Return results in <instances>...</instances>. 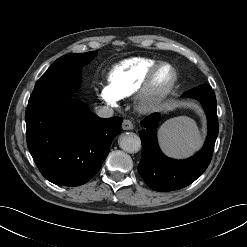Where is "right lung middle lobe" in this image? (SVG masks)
<instances>
[{
  "label": "right lung middle lobe",
  "instance_id": "obj_1",
  "mask_svg": "<svg viewBox=\"0 0 247 247\" xmlns=\"http://www.w3.org/2000/svg\"><path fill=\"white\" fill-rule=\"evenodd\" d=\"M96 52L67 54L58 58L37 81L30 99L55 95H69L79 85V72L89 63Z\"/></svg>",
  "mask_w": 247,
  "mask_h": 247
}]
</instances>
